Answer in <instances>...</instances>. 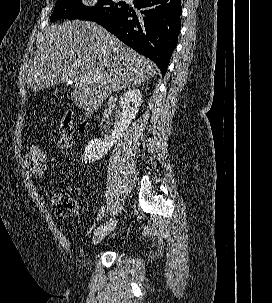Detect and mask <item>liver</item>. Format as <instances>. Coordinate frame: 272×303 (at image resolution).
I'll return each instance as SVG.
<instances>
[{"mask_svg":"<svg viewBox=\"0 0 272 303\" xmlns=\"http://www.w3.org/2000/svg\"><path fill=\"white\" fill-rule=\"evenodd\" d=\"M157 70L151 60L100 25L74 20L46 29L27 81L33 91L71 82V99L87 115L112 92L140 85L154 77ZM95 76L98 80L90 79ZM81 77L89 79L81 82Z\"/></svg>","mask_w":272,"mask_h":303,"instance_id":"1","label":"liver"}]
</instances>
